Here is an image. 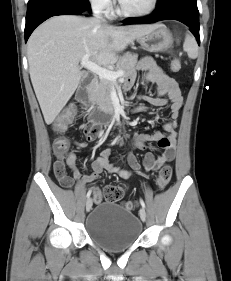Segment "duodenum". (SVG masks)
Here are the masks:
<instances>
[{
	"label": "duodenum",
	"instance_id": "410a0bca",
	"mask_svg": "<svg viewBox=\"0 0 231 281\" xmlns=\"http://www.w3.org/2000/svg\"><path fill=\"white\" fill-rule=\"evenodd\" d=\"M92 81L82 82L76 92L77 101L84 107L90 104ZM119 110L116 107H109L100 111H92L88 114V120L97 125L103 126L114 122L118 116Z\"/></svg>",
	"mask_w": 231,
	"mask_h": 281
}]
</instances>
